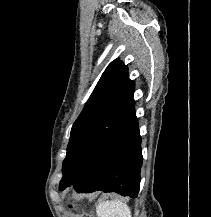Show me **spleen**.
<instances>
[{"mask_svg":"<svg viewBox=\"0 0 211 217\" xmlns=\"http://www.w3.org/2000/svg\"><path fill=\"white\" fill-rule=\"evenodd\" d=\"M98 217H132L131 210L120 200L106 201L96 207Z\"/></svg>","mask_w":211,"mask_h":217,"instance_id":"1","label":"spleen"}]
</instances>
